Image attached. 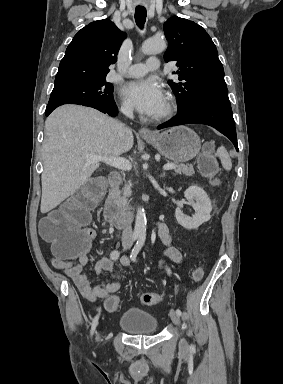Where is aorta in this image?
<instances>
[{
    "instance_id": "762f6f07",
    "label": "aorta",
    "mask_w": 283,
    "mask_h": 384,
    "mask_svg": "<svg viewBox=\"0 0 283 384\" xmlns=\"http://www.w3.org/2000/svg\"><path fill=\"white\" fill-rule=\"evenodd\" d=\"M166 41L161 38L147 39L142 45L144 54H159L166 49ZM146 234V214L144 208H139L136 213L134 235L144 237Z\"/></svg>"
}]
</instances>
